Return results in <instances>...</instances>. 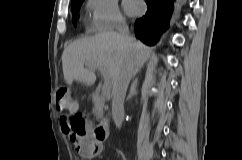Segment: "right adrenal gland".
Instances as JSON below:
<instances>
[{"label":"right adrenal gland","mask_w":242,"mask_h":160,"mask_svg":"<svg viewBox=\"0 0 242 160\" xmlns=\"http://www.w3.org/2000/svg\"><path fill=\"white\" fill-rule=\"evenodd\" d=\"M137 85H138V79H135L131 85V88H130V91H129V94L126 98V101H128L129 99H131L134 95L137 94Z\"/></svg>","instance_id":"2a0ac1e0"}]
</instances>
